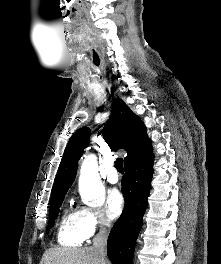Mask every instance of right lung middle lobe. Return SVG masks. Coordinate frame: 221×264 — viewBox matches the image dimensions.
<instances>
[{"label": "right lung middle lobe", "instance_id": "right-lung-middle-lobe-1", "mask_svg": "<svg viewBox=\"0 0 221 264\" xmlns=\"http://www.w3.org/2000/svg\"><path fill=\"white\" fill-rule=\"evenodd\" d=\"M65 195L66 194H61V195L56 196L55 198L50 200V215H49L47 232L49 231V229L54 224V220L56 218L57 212H58L59 207L61 206V204L64 200Z\"/></svg>", "mask_w": 221, "mask_h": 264}]
</instances>
